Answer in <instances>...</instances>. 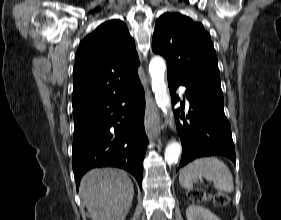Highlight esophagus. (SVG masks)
<instances>
[{"label":"esophagus","mask_w":281,"mask_h":220,"mask_svg":"<svg viewBox=\"0 0 281 220\" xmlns=\"http://www.w3.org/2000/svg\"><path fill=\"white\" fill-rule=\"evenodd\" d=\"M146 110H145V130L150 140L158 138L161 134V126L159 121L158 109L156 103L151 96V92L146 87Z\"/></svg>","instance_id":"1"}]
</instances>
